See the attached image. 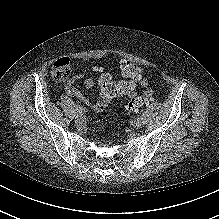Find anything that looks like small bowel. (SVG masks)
Listing matches in <instances>:
<instances>
[{"label": "small bowel", "instance_id": "c3829d8e", "mask_svg": "<svg viewBox=\"0 0 219 219\" xmlns=\"http://www.w3.org/2000/svg\"><path fill=\"white\" fill-rule=\"evenodd\" d=\"M82 77H83V74L79 73V74L74 75L67 82V84L64 86V90H65L66 94L71 96V97L77 98L78 100L84 102L85 104H87L88 106H90L94 110H101L103 108V100L93 101V100L89 99L88 97H86L83 93H81L79 90H77L73 86V84L76 81L80 80ZM139 83L142 87L148 86V80L146 78H142V76H141ZM94 84H95V82L91 78H87L84 81V85L86 88H92L94 86ZM146 93L152 94V90L146 89L145 94Z\"/></svg>", "mask_w": 219, "mask_h": 219}]
</instances>
